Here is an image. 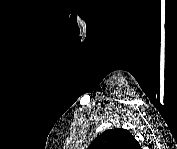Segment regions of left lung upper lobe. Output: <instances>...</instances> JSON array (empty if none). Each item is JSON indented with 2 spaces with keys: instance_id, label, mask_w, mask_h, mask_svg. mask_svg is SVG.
<instances>
[{
  "instance_id": "5c2ea615",
  "label": "left lung upper lobe",
  "mask_w": 177,
  "mask_h": 149,
  "mask_svg": "<svg viewBox=\"0 0 177 149\" xmlns=\"http://www.w3.org/2000/svg\"><path fill=\"white\" fill-rule=\"evenodd\" d=\"M140 147L131 133L123 128L104 131L90 144V149H138Z\"/></svg>"
}]
</instances>
